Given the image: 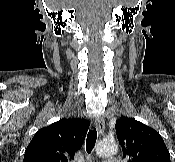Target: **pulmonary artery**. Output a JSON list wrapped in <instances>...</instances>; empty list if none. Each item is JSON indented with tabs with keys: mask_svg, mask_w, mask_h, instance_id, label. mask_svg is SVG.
Listing matches in <instances>:
<instances>
[{
	"mask_svg": "<svg viewBox=\"0 0 175 162\" xmlns=\"http://www.w3.org/2000/svg\"><path fill=\"white\" fill-rule=\"evenodd\" d=\"M104 162H119L117 159L114 158H109L107 160H105Z\"/></svg>",
	"mask_w": 175,
	"mask_h": 162,
	"instance_id": "pulmonary-artery-1",
	"label": "pulmonary artery"
}]
</instances>
